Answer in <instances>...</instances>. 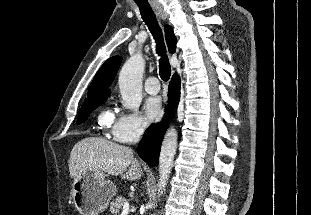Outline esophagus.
Masks as SVG:
<instances>
[{
    "label": "esophagus",
    "mask_w": 311,
    "mask_h": 215,
    "mask_svg": "<svg viewBox=\"0 0 311 215\" xmlns=\"http://www.w3.org/2000/svg\"><path fill=\"white\" fill-rule=\"evenodd\" d=\"M156 13L162 18V19H166L167 18V14L164 12L162 6H155L154 7ZM161 119V117L158 119V121Z\"/></svg>",
    "instance_id": "34e87169"
}]
</instances>
